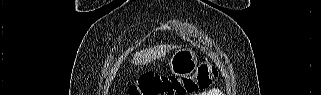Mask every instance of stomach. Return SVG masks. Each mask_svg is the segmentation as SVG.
<instances>
[{"mask_svg": "<svg viewBox=\"0 0 321 95\" xmlns=\"http://www.w3.org/2000/svg\"><path fill=\"white\" fill-rule=\"evenodd\" d=\"M198 67L197 54L190 48L177 50L169 60V68L175 76H188Z\"/></svg>", "mask_w": 321, "mask_h": 95, "instance_id": "stomach-1", "label": "stomach"}]
</instances>
